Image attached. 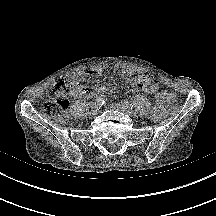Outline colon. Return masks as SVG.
I'll return each instance as SVG.
<instances>
[{
    "mask_svg": "<svg viewBox=\"0 0 216 216\" xmlns=\"http://www.w3.org/2000/svg\"><path fill=\"white\" fill-rule=\"evenodd\" d=\"M77 84L59 79L49 92L48 99L42 104L43 112L58 122L66 123L68 121L67 109L69 106V96L77 88ZM170 110L178 113L180 102L173 93L169 95Z\"/></svg>",
    "mask_w": 216,
    "mask_h": 216,
    "instance_id": "5ec220e1",
    "label": "colon"
}]
</instances>
